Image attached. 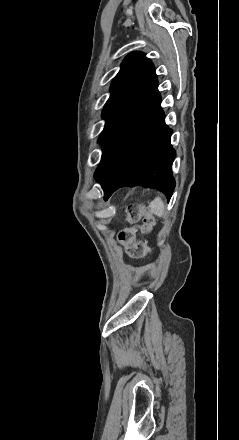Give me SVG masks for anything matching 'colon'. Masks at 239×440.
<instances>
[{
  "label": "colon",
  "mask_w": 239,
  "mask_h": 440,
  "mask_svg": "<svg viewBox=\"0 0 239 440\" xmlns=\"http://www.w3.org/2000/svg\"><path fill=\"white\" fill-rule=\"evenodd\" d=\"M127 220L132 223V226L119 233L118 239L120 243L131 244L130 254L133 257H142L152 253V250L145 241L132 243L137 231H140L143 234L150 232L154 222L150 212L142 205H131L127 210Z\"/></svg>",
  "instance_id": "1"
}]
</instances>
